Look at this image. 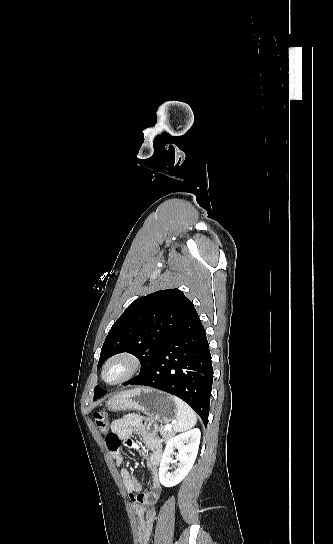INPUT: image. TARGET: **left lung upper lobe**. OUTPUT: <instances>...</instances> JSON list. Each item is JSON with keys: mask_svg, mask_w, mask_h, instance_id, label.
<instances>
[{"mask_svg": "<svg viewBox=\"0 0 333 544\" xmlns=\"http://www.w3.org/2000/svg\"><path fill=\"white\" fill-rule=\"evenodd\" d=\"M194 305L179 289H166L134 300L113 324L102 346L98 367L109 357L128 352L141 362V376L164 343L181 325ZM106 391L96 386L94 398Z\"/></svg>", "mask_w": 333, "mask_h": 544, "instance_id": "5c2ea615", "label": "left lung upper lobe"}]
</instances>
